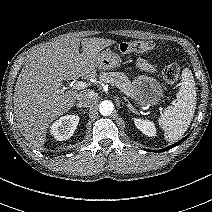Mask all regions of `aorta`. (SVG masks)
Here are the masks:
<instances>
[{"instance_id":"obj_1","label":"aorta","mask_w":212,"mask_h":212,"mask_svg":"<svg viewBox=\"0 0 212 212\" xmlns=\"http://www.w3.org/2000/svg\"><path fill=\"white\" fill-rule=\"evenodd\" d=\"M114 110V105L109 100H104L99 105V112L103 116H109L112 114Z\"/></svg>"}]
</instances>
